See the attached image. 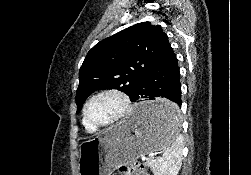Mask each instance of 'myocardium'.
<instances>
[{"mask_svg": "<svg viewBox=\"0 0 251 175\" xmlns=\"http://www.w3.org/2000/svg\"><path fill=\"white\" fill-rule=\"evenodd\" d=\"M105 93L118 94L123 102L124 111H123L122 115L111 124H108V125H95L94 124L92 126H89L90 128H92L95 131H101V130L113 128V127L123 123L126 119H128L131 116V114L133 112L132 100H131L129 94L125 90H123L122 88H119V87L104 88V89H101L100 91L96 92L95 94H93L85 103L84 108H83V124H84V126H88L89 105L91 104V102L95 98H97L98 96L103 95Z\"/></svg>", "mask_w": 251, "mask_h": 175, "instance_id": "f54148a6", "label": "myocardium"}]
</instances>
